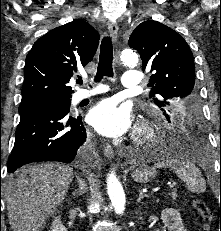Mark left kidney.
<instances>
[{
	"mask_svg": "<svg viewBox=\"0 0 221 231\" xmlns=\"http://www.w3.org/2000/svg\"><path fill=\"white\" fill-rule=\"evenodd\" d=\"M161 219L169 231H187L180 213L173 208H166L161 212Z\"/></svg>",
	"mask_w": 221,
	"mask_h": 231,
	"instance_id": "1",
	"label": "left kidney"
}]
</instances>
